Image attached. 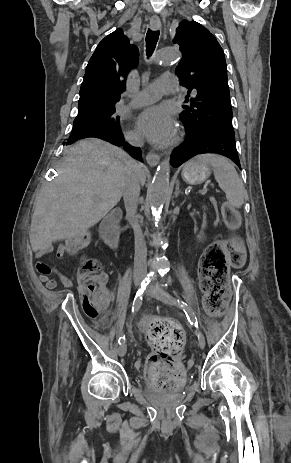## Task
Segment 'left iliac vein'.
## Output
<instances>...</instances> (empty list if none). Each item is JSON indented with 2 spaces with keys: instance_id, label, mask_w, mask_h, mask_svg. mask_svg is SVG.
I'll return each instance as SVG.
<instances>
[{
  "instance_id": "left-iliac-vein-1",
  "label": "left iliac vein",
  "mask_w": 291,
  "mask_h": 463,
  "mask_svg": "<svg viewBox=\"0 0 291 463\" xmlns=\"http://www.w3.org/2000/svg\"><path fill=\"white\" fill-rule=\"evenodd\" d=\"M146 295L151 296L156 298L157 300L163 302L164 304L171 305V306H177V303L175 299L173 298H168L157 292L154 288L150 287ZM197 337H198V344L201 349H204L205 347V337L201 331L197 332Z\"/></svg>"
}]
</instances>
